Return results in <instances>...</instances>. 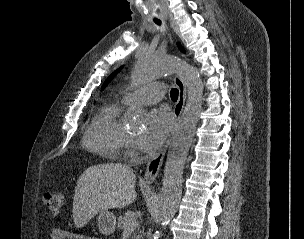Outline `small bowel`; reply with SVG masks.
<instances>
[{
  "mask_svg": "<svg viewBox=\"0 0 304 239\" xmlns=\"http://www.w3.org/2000/svg\"><path fill=\"white\" fill-rule=\"evenodd\" d=\"M51 239H71L74 234L62 228H54L50 233Z\"/></svg>",
  "mask_w": 304,
  "mask_h": 239,
  "instance_id": "c3829d8e",
  "label": "small bowel"
}]
</instances>
